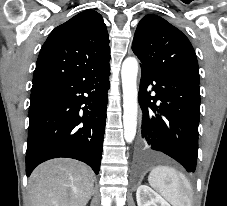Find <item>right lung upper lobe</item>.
Wrapping results in <instances>:
<instances>
[{
  "instance_id": "1",
  "label": "right lung upper lobe",
  "mask_w": 227,
  "mask_h": 206,
  "mask_svg": "<svg viewBox=\"0 0 227 206\" xmlns=\"http://www.w3.org/2000/svg\"><path fill=\"white\" fill-rule=\"evenodd\" d=\"M109 60V36L102 16L86 10L49 34L38 56L33 84L99 68Z\"/></svg>"
}]
</instances>
